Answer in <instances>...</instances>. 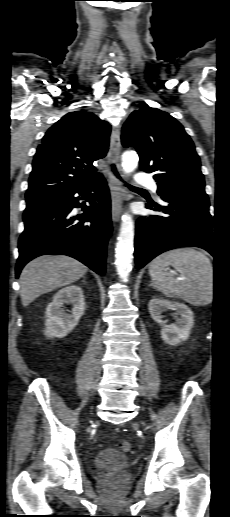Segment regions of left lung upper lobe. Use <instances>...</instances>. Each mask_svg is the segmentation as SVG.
<instances>
[{
	"label": "left lung upper lobe",
	"mask_w": 230,
	"mask_h": 517,
	"mask_svg": "<svg viewBox=\"0 0 230 517\" xmlns=\"http://www.w3.org/2000/svg\"><path fill=\"white\" fill-rule=\"evenodd\" d=\"M124 147H135L140 170L155 173L158 192H205L200 158L183 126L157 108L135 110L122 128Z\"/></svg>",
	"instance_id": "left-lung-upper-lobe-1"
}]
</instances>
